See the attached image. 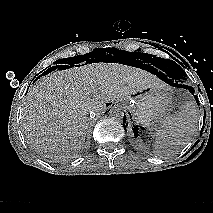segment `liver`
Returning <instances> with one entry per match:
<instances>
[{"mask_svg":"<svg viewBox=\"0 0 213 213\" xmlns=\"http://www.w3.org/2000/svg\"><path fill=\"white\" fill-rule=\"evenodd\" d=\"M164 87L153 74L118 63H92L42 76L29 89L24 103L28 144L50 159H68L82 148L88 114L101 113L106 103Z\"/></svg>","mask_w":213,"mask_h":213,"instance_id":"1","label":"liver"}]
</instances>
